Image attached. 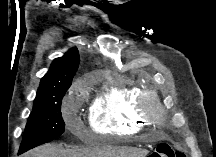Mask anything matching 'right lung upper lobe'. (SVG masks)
<instances>
[{"label": "right lung upper lobe", "mask_w": 216, "mask_h": 157, "mask_svg": "<svg viewBox=\"0 0 216 157\" xmlns=\"http://www.w3.org/2000/svg\"><path fill=\"white\" fill-rule=\"evenodd\" d=\"M79 66V53L76 48L70 49L63 57L52 62L49 71L41 79L35 104L54 95L66 87H70Z\"/></svg>", "instance_id": "cb5924a9"}]
</instances>
